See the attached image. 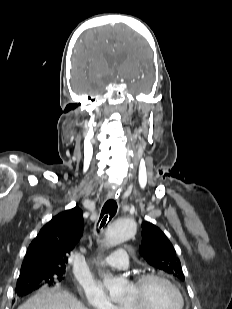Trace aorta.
<instances>
[{
    "label": "aorta",
    "mask_w": 232,
    "mask_h": 309,
    "mask_svg": "<svg viewBox=\"0 0 232 309\" xmlns=\"http://www.w3.org/2000/svg\"><path fill=\"white\" fill-rule=\"evenodd\" d=\"M136 231V225L133 221L125 218L115 220L105 233L103 242L107 248L115 247L130 238ZM104 285L109 291L110 299L114 302L125 298L128 290V281L124 278H116L110 274L104 275Z\"/></svg>",
    "instance_id": "aorta-1"
}]
</instances>
